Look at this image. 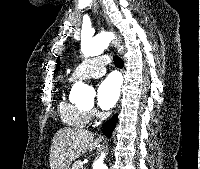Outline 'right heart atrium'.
Instances as JSON below:
<instances>
[{"mask_svg":"<svg viewBox=\"0 0 200 169\" xmlns=\"http://www.w3.org/2000/svg\"><path fill=\"white\" fill-rule=\"evenodd\" d=\"M87 113H88V118H89V121L95 119L97 117V112L95 109H88L87 110Z\"/></svg>","mask_w":200,"mask_h":169,"instance_id":"right-heart-atrium-1","label":"right heart atrium"}]
</instances>
